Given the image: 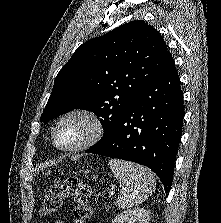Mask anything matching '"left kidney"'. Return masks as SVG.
Masks as SVG:
<instances>
[{
	"label": "left kidney",
	"instance_id": "left-kidney-1",
	"mask_svg": "<svg viewBox=\"0 0 221 223\" xmlns=\"http://www.w3.org/2000/svg\"><path fill=\"white\" fill-rule=\"evenodd\" d=\"M150 212L144 208L124 211L112 223H149Z\"/></svg>",
	"mask_w": 221,
	"mask_h": 223
}]
</instances>
